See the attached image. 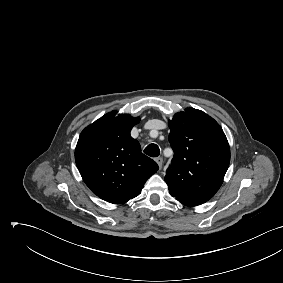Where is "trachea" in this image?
<instances>
[{
  "label": "trachea",
  "instance_id": "trachea-1",
  "mask_svg": "<svg viewBox=\"0 0 283 283\" xmlns=\"http://www.w3.org/2000/svg\"><path fill=\"white\" fill-rule=\"evenodd\" d=\"M144 153L150 157H158L160 149L156 144H149L145 149Z\"/></svg>",
  "mask_w": 283,
  "mask_h": 283
}]
</instances>
